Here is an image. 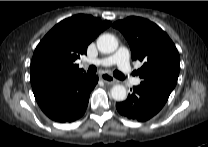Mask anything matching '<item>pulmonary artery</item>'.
Returning <instances> with one entry per match:
<instances>
[{
    "instance_id": "e3ab8cb5",
    "label": "pulmonary artery",
    "mask_w": 208,
    "mask_h": 147,
    "mask_svg": "<svg viewBox=\"0 0 208 147\" xmlns=\"http://www.w3.org/2000/svg\"><path fill=\"white\" fill-rule=\"evenodd\" d=\"M90 64L97 66L109 67L117 65L122 73L130 80L132 85H139L140 79L131 75V67L129 63V51L125 47H120L113 55L89 61Z\"/></svg>"
}]
</instances>
